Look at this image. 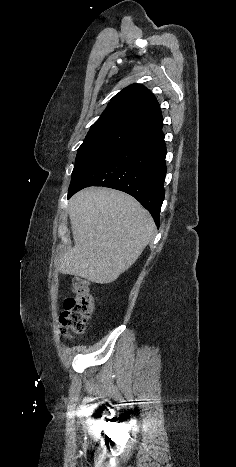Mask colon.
<instances>
[{"label":"colon","mask_w":236,"mask_h":467,"mask_svg":"<svg viewBox=\"0 0 236 467\" xmlns=\"http://www.w3.org/2000/svg\"><path fill=\"white\" fill-rule=\"evenodd\" d=\"M70 287L74 296L65 299L64 311L60 317L61 328L67 337L70 333L80 334L85 331L94 309V298L88 280L73 276Z\"/></svg>","instance_id":"1"}]
</instances>
